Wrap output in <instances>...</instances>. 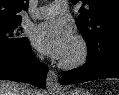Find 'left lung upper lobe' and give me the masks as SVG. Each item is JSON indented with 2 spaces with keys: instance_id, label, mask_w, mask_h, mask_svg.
Segmentation results:
<instances>
[{
  "instance_id": "1",
  "label": "left lung upper lobe",
  "mask_w": 119,
  "mask_h": 95,
  "mask_svg": "<svg viewBox=\"0 0 119 95\" xmlns=\"http://www.w3.org/2000/svg\"><path fill=\"white\" fill-rule=\"evenodd\" d=\"M82 2L76 25L89 51L103 52L119 45V0H71Z\"/></svg>"
}]
</instances>
